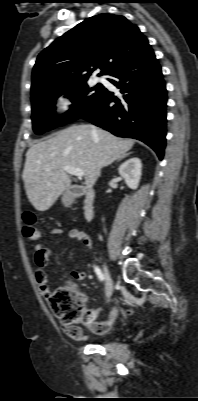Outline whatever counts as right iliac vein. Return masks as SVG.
Returning <instances> with one entry per match:
<instances>
[{"label": "right iliac vein", "instance_id": "1", "mask_svg": "<svg viewBox=\"0 0 198 401\" xmlns=\"http://www.w3.org/2000/svg\"><path fill=\"white\" fill-rule=\"evenodd\" d=\"M104 274L106 279L105 281L106 296L109 298L113 294V281L107 265H104Z\"/></svg>", "mask_w": 198, "mask_h": 401}]
</instances>
